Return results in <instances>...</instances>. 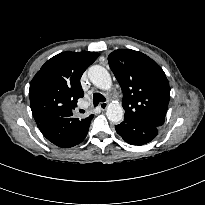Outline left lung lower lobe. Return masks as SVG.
I'll use <instances>...</instances> for the list:
<instances>
[{"mask_svg": "<svg viewBox=\"0 0 205 205\" xmlns=\"http://www.w3.org/2000/svg\"><path fill=\"white\" fill-rule=\"evenodd\" d=\"M115 129L124 141L138 146L151 142L158 133L157 126L127 117Z\"/></svg>", "mask_w": 205, "mask_h": 205, "instance_id": "left-lung-lower-lobe-1", "label": "left lung lower lobe"}]
</instances>
